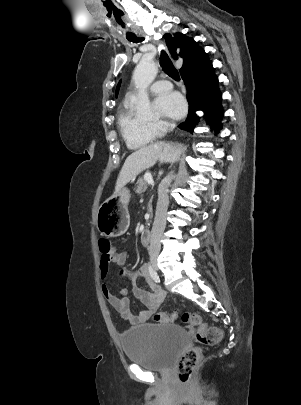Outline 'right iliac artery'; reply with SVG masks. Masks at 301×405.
<instances>
[{"instance_id":"obj_1","label":"right iliac artery","mask_w":301,"mask_h":405,"mask_svg":"<svg viewBox=\"0 0 301 405\" xmlns=\"http://www.w3.org/2000/svg\"><path fill=\"white\" fill-rule=\"evenodd\" d=\"M148 269H149V273H150V276L152 277V279L155 282H159V276L157 275L156 271L153 269V267L150 264H148Z\"/></svg>"}]
</instances>
